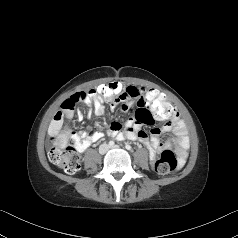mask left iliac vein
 I'll return each instance as SVG.
<instances>
[{
	"mask_svg": "<svg viewBox=\"0 0 238 238\" xmlns=\"http://www.w3.org/2000/svg\"><path fill=\"white\" fill-rule=\"evenodd\" d=\"M111 148H112V149H116V148H119V146H118V145H115V146H112Z\"/></svg>",
	"mask_w": 238,
	"mask_h": 238,
	"instance_id": "4c4485c4",
	"label": "left iliac vein"
}]
</instances>
